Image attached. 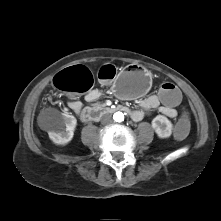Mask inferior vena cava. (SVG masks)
I'll return each instance as SVG.
<instances>
[{
  "label": "inferior vena cava",
  "mask_w": 221,
  "mask_h": 221,
  "mask_svg": "<svg viewBox=\"0 0 221 221\" xmlns=\"http://www.w3.org/2000/svg\"><path fill=\"white\" fill-rule=\"evenodd\" d=\"M109 121H110V116H109V115L103 116V118H102V122H103V123H107V122H109Z\"/></svg>",
  "instance_id": "602c4592"
}]
</instances>
